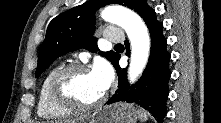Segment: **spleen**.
<instances>
[{"label":"spleen","mask_w":221,"mask_h":123,"mask_svg":"<svg viewBox=\"0 0 221 123\" xmlns=\"http://www.w3.org/2000/svg\"><path fill=\"white\" fill-rule=\"evenodd\" d=\"M137 114L142 123L148 119V113L145 110L139 109Z\"/></svg>","instance_id":"obj_1"}]
</instances>
